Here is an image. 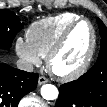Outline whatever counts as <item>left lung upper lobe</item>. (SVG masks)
<instances>
[{"label":"left lung upper lobe","mask_w":107,"mask_h":107,"mask_svg":"<svg viewBox=\"0 0 107 107\" xmlns=\"http://www.w3.org/2000/svg\"><path fill=\"white\" fill-rule=\"evenodd\" d=\"M100 29V35H101V52H103L105 56V61L107 63V28L103 24V22L100 19H97Z\"/></svg>","instance_id":"1"}]
</instances>
